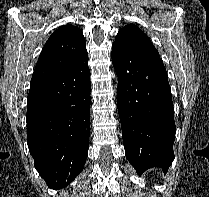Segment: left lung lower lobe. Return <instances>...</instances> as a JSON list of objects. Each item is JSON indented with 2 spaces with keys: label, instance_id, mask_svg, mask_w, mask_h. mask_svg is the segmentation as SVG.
I'll list each match as a JSON object with an SVG mask.
<instances>
[{
  "label": "left lung lower lobe",
  "instance_id": "obj_1",
  "mask_svg": "<svg viewBox=\"0 0 209 197\" xmlns=\"http://www.w3.org/2000/svg\"><path fill=\"white\" fill-rule=\"evenodd\" d=\"M112 62L119 76L117 104L126 158L138 174L152 167L168 171L176 127L162 60L113 45Z\"/></svg>",
  "mask_w": 209,
  "mask_h": 197
}]
</instances>
